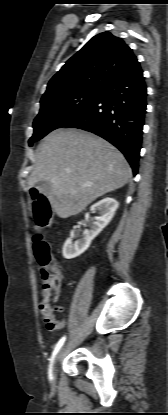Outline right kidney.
<instances>
[{
  "mask_svg": "<svg viewBox=\"0 0 168 415\" xmlns=\"http://www.w3.org/2000/svg\"><path fill=\"white\" fill-rule=\"evenodd\" d=\"M118 202L113 198H104L91 206L90 212H99V217L95 219L89 229L83 232L84 237L72 242V238H68L63 245V257L72 259L85 252L92 240L109 224L118 209ZM85 219H89V213L85 215Z\"/></svg>",
  "mask_w": 168,
  "mask_h": 415,
  "instance_id": "ca27d5eb",
  "label": "right kidney"
}]
</instances>
